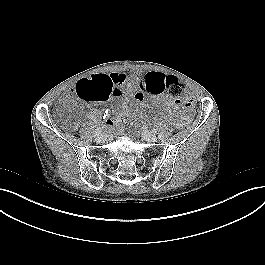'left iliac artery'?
<instances>
[{
	"instance_id": "left-iliac-artery-1",
	"label": "left iliac artery",
	"mask_w": 265,
	"mask_h": 265,
	"mask_svg": "<svg viewBox=\"0 0 265 265\" xmlns=\"http://www.w3.org/2000/svg\"><path fill=\"white\" fill-rule=\"evenodd\" d=\"M158 137H159V139H161V138L163 137V135H162V134H159V136H158Z\"/></svg>"
}]
</instances>
